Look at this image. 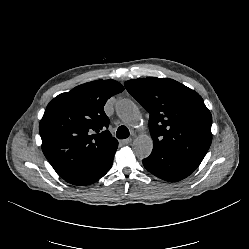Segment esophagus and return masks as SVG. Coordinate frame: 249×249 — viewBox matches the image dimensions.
<instances>
[{"mask_svg":"<svg viewBox=\"0 0 249 249\" xmlns=\"http://www.w3.org/2000/svg\"><path fill=\"white\" fill-rule=\"evenodd\" d=\"M132 142V138H128V139H125V140H122L121 141V143L123 144V145H127V144H129V143H131Z\"/></svg>","mask_w":249,"mask_h":249,"instance_id":"1","label":"esophagus"}]
</instances>
